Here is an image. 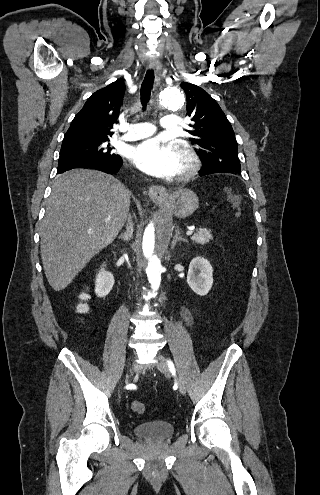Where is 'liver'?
Returning a JSON list of instances; mask_svg holds the SVG:
<instances>
[{
    "mask_svg": "<svg viewBox=\"0 0 320 495\" xmlns=\"http://www.w3.org/2000/svg\"><path fill=\"white\" fill-rule=\"evenodd\" d=\"M129 205V190L110 175L75 169L57 176L40 229L43 268L55 291L114 241Z\"/></svg>",
    "mask_w": 320,
    "mask_h": 495,
    "instance_id": "1",
    "label": "liver"
}]
</instances>
